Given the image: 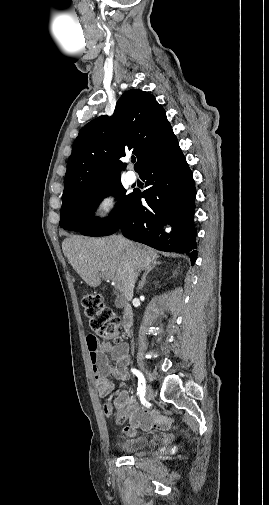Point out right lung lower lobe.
Here are the masks:
<instances>
[{"label": "right lung lower lobe", "instance_id": "98d812e1", "mask_svg": "<svg viewBox=\"0 0 269 505\" xmlns=\"http://www.w3.org/2000/svg\"><path fill=\"white\" fill-rule=\"evenodd\" d=\"M139 175L148 189L142 194L133 192L116 231L161 251L186 253L193 265L197 256L193 225L196 188L178 142L145 164ZM141 197L147 205H142ZM166 223L173 227L169 234L161 230Z\"/></svg>", "mask_w": 269, "mask_h": 505}]
</instances>
